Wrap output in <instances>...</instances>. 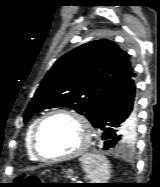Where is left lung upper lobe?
<instances>
[{"instance_id": "left-lung-upper-lobe-1", "label": "left lung upper lobe", "mask_w": 160, "mask_h": 187, "mask_svg": "<svg viewBox=\"0 0 160 187\" xmlns=\"http://www.w3.org/2000/svg\"><path fill=\"white\" fill-rule=\"evenodd\" d=\"M128 55L109 40H96L58 59L42 80L24 112V121L53 107H71L94 124L104 100L132 75ZM136 126L125 140L129 145Z\"/></svg>"}]
</instances>
